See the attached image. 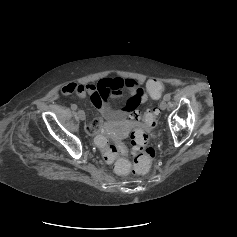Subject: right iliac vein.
I'll return each instance as SVG.
<instances>
[{"instance_id": "right-iliac-vein-1", "label": "right iliac vein", "mask_w": 237, "mask_h": 237, "mask_svg": "<svg viewBox=\"0 0 237 237\" xmlns=\"http://www.w3.org/2000/svg\"><path fill=\"white\" fill-rule=\"evenodd\" d=\"M77 114H78V117H79L82 121L86 119V116H85L84 111L78 110Z\"/></svg>"}]
</instances>
